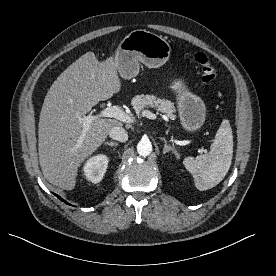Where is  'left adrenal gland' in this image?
Instances as JSON below:
<instances>
[{"label": "left adrenal gland", "instance_id": "obj_1", "mask_svg": "<svg viewBox=\"0 0 276 276\" xmlns=\"http://www.w3.org/2000/svg\"><path fill=\"white\" fill-rule=\"evenodd\" d=\"M160 139L164 142L163 153L166 154V153H169L170 151H172V153H173L176 157H178L177 150H176L174 147L168 145L165 138H160Z\"/></svg>", "mask_w": 276, "mask_h": 276}]
</instances>
